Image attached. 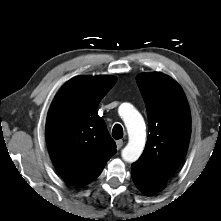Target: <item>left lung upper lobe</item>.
Here are the masks:
<instances>
[{"label":"left lung upper lobe","instance_id":"1","mask_svg":"<svg viewBox=\"0 0 221 221\" xmlns=\"http://www.w3.org/2000/svg\"><path fill=\"white\" fill-rule=\"evenodd\" d=\"M136 81L146 105L149 135L143 154L135 163L168 180L182 163L189 145V105L182 88L167 75L147 73Z\"/></svg>","mask_w":221,"mask_h":221}]
</instances>
